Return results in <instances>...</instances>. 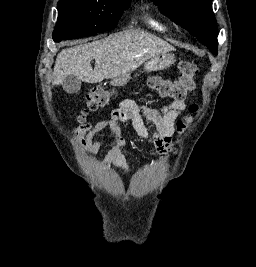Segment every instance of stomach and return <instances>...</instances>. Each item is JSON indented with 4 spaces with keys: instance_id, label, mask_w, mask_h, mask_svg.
Returning a JSON list of instances; mask_svg holds the SVG:
<instances>
[{
    "instance_id": "stomach-1",
    "label": "stomach",
    "mask_w": 256,
    "mask_h": 267,
    "mask_svg": "<svg viewBox=\"0 0 256 267\" xmlns=\"http://www.w3.org/2000/svg\"><path fill=\"white\" fill-rule=\"evenodd\" d=\"M175 58L173 54H162L161 58H157L155 62H146V67H155L156 70H165L171 64H174Z\"/></svg>"
}]
</instances>
